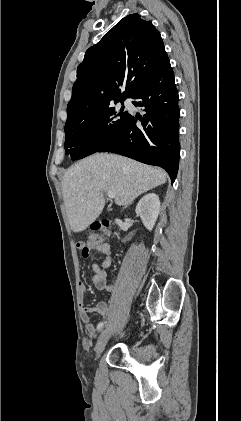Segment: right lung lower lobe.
Returning a JSON list of instances; mask_svg holds the SVG:
<instances>
[{"instance_id":"1","label":"right lung lower lobe","mask_w":241,"mask_h":421,"mask_svg":"<svg viewBox=\"0 0 241 421\" xmlns=\"http://www.w3.org/2000/svg\"><path fill=\"white\" fill-rule=\"evenodd\" d=\"M130 98L135 106L144 107L141 117L129 116L122 131L98 152H114L137 161L160 166L174 182L179 164L178 92L168 56L135 90ZM142 127L136 126V121Z\"/></svg>"}]
</instances>
